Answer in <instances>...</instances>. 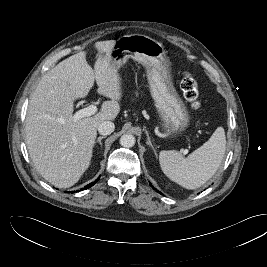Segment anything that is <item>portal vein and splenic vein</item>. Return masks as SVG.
<instances>
[{
	"instance_id": "portal-vein-and-splenic-vein-1",
	"label": "portal vein and splenic vein",
	"mask_w": 267,
	"mask_h": 267,
	"mask_svg": "<svg viewBox=\"0 0 267 267\" xmlns=\"http://www.w3.org/2000/svg\"><path fill=\"white\" fill-rule=\"evenodd\" d=\"M96 111H97L96 105L95 104H91L88 107L80 109L79 111H77L74 114L73 119H74V121H77V120L82 119L84 117H89V116L95 114ZM182 153L184 155H186L188 153V150H186V149L182 150Z\"/></svg>"
}]
</instances>
